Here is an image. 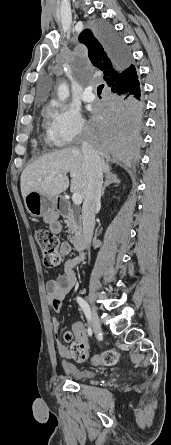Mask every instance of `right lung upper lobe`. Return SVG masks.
Masks as SVG:
<instances>
[{"mask_svg":"<svg viewBox=\"0 0 171 445\" xmlns=\"http://www.w3.org/2000/svg\"><path fill=\"white\" fill-rule=\"evenodd\" d=\"M79 41L87 46L89 59L103 72L104 80L110 89L119 87L124 81L138 79L136 68L131 61L129 69L124 70L109 55L99 30H96L94 34L90 30L82 31Z\"/></svg>","mask_w":171,"mask_h":445,"instance_id":"obj_1","label":"right lung upper lobe"}]
</instances>
